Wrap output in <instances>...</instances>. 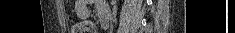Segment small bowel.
I'll return each mask as SVG.
<instances>
[{"label": "small bowel", "instance_id": "obj_1", "mask_svg": "<svg viewBox=\"0 0 235 33\" xmlns=\"http://www.w3.org/2000/svg\"><path fill=\"white\" fill-rule=\"evenodd\" d=\"M75 7L78 14H83L88 10V1H77ZM94 7L99 18L102 14H107V10L103 2L95 1Z\"/></svg>", "mask_w": 235, "mask_h": 33}]
</instances>
